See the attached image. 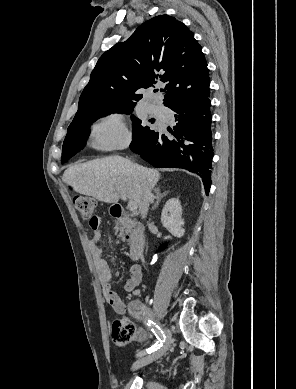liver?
<instances>
[{
  "mask_svg": "<svg viewBox=\"0 0 296 389\" xmlns=\"http://www.w3.org/2000/svg\"><path fill=\"white\" fill-rule=\"evenodd\" d=\"M160 179L155 169L143 167L120 156L95 159L70 166L62 180L76 192L106 203H116L120 191L141 211L143 184L154 189Z\"/></svg>",
  "mask_w": 296,
  "mask_h": 389,
  "instance_id": "liver-1",
  "label": "liver"
}]
</instances>
